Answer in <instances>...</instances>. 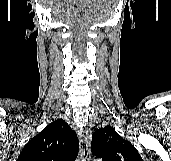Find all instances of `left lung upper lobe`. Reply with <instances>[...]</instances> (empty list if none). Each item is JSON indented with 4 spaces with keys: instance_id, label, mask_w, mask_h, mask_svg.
I'll return each instance as SVG.
<instances>
[{
    "instance_id": "left-lung-upper-lobe-1",
    "label": "left lung upper lobe",
    "mask_w": 171,
    "mask_h": 161,
    "mask_svg": "<svg viewBox=\"0 0 171 161\" xmlns=\"http://www.w3.org/2000/svg\"><path fill=\"white\" fill-rule=\"evenodd\" d=\"M92 136V153L103 161H143L135 147L111 126L97 129Z\"/></svg>"
}]
</instances>
